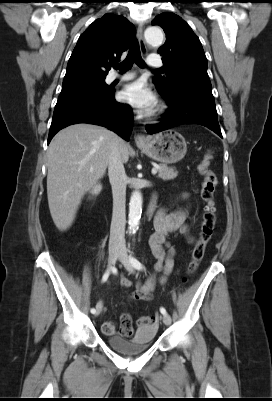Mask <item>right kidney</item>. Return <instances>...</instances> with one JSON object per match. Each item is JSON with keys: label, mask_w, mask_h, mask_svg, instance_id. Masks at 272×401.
<instances>
[{"label": "right kidney", "mask_w": 272, "mask_h": 401, "mask_svg": "<svg viewBox=\"0 0 272 401\" xmlns=\"http://www.w3.org/2000/svg\"><path fill=\"white\" fill-rule=\"evenodd\" d=\"M101 189H102V186L100 184H97V185L93 186V188L91 190L92 195L99 194Z\"/></svg>", "instance_id": "obj_1"}]
</instances>
